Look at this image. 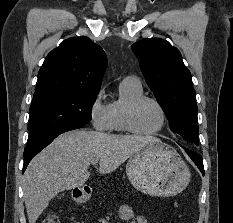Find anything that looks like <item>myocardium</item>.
Returning <instances> with one entry per match:
<instances>
[{"mask_svg":"<svg viewBox=\"0 0 233 223\" xmlns=\"http://www.w3.org/2000/svg\"><path fill=\"white\" fill-rule=\"evenodd\" d=\"M153 102L154 104L157 105V107L160 109L162 116H163V123L162 126L154 131V132H142L140 131L137 126H136V113L139 109V107L144 103V102ZM168 113L165 109V107L163 106V104L157 100L154 97L151 96H146V95H142L134 100H132L126 107V111H125V123H126V128L127 130L131 133L134 134L136 136H140V137H152V136H156L161 134L167 127L168 125Z\"/></svg>","mask_w":233,"mask_h":223,"instance_id":"f54148a6","label":"myocardium"}]
</instances>
